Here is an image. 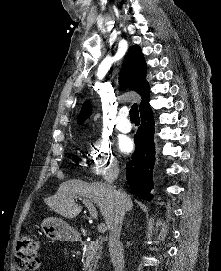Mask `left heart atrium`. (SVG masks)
I'll return each mask as SVG.
<instances>
[{"label":"left heart atrium","mask_w":221,"mask_h":271,"mask_svg":"<svg viewBox=\"0 0 221 271\" xmlns=\"http://www.w3.org/2000/svg\"><path fill=\"white\" fill-rule=\"evenodd\" d=\"M133 148V142L131 138L124 137L119 141V149L124 153H129Z\"/></svg>","instance_id":"39dd6f15"}]
</instances>
